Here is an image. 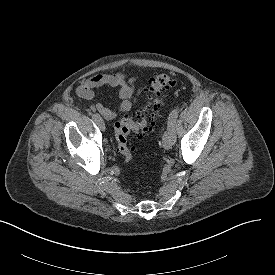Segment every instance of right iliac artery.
<instances>
[{
  "instance_id": "1",
  "label": "right iliac artery",
  "mask_w": 275,
  "mask_h": 275,
  "mask_svg": "<svg viewBox=\"0 0 275 275\" xmlns=\"http://www.w3.org/2000/svg\"><path fill=\"white\" fill-rule=\"evenodd\" d=\"M92 119L96 122L97 120L100 119V115H99V114H94V115L92 116Z\"/></svg>"
}]
</instances>
